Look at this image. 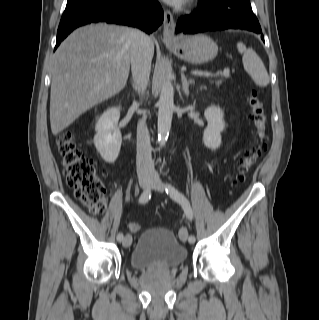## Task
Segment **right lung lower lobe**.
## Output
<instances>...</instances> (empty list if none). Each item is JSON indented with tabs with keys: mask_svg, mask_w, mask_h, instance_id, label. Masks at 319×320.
<instances>
[{
	"mask_svg": "<svg viewBox=\"0 0 319 320\" xmlns=\"http://www.w3.org/2000/svg\"><path fill=\"white\" fill-rule=\"evenodd\" d=\"M99 21L136 26L151 33L163 22V11L157 0H84L65 9L55 49L75 28Z\"/></svg>",
	"mask_w": 319,
	"mask_h": 320,
	"instance_id": "98d812e1",
	"label": "right lung lower lobe"
}]
</instances>
